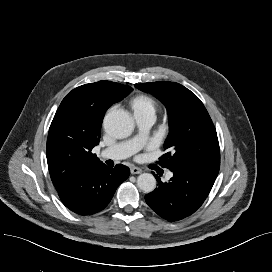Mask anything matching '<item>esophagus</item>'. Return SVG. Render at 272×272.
<instances>
[{"label":"esophagus","mask_w":272,"mask_h":272,"mask_svg":"<svg viewBox=\"0 0 272 272\" xmlns=\"http://www.w3.org/2000/svg\"><path fill=\"white\" fill-rule=\"evenodd\" d=\"M131 174H140L142 172V169L139 167H132L130 169Z\"/></svg>","instance_id":"34e87169"}]
</instances>
